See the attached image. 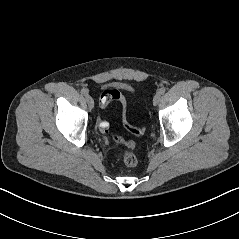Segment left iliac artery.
I'll return each instance as SVG.
<instances>
[{
	"label": "left iliac artery",
	"mask_w": 239,
	"mask_h": 239,
	"mask_svg": "<svg viewBox=\"0 0 239 239\" xmlns=\"http://www.w3.org/2000/svg\"><path fill=\"white\" fill-rule=\"evenodd\" d=\"M165 91H166V89H165L164 87L158 89V93H159L160 95L164 94Z\"/></svg>",
	"instance_id": "1"
}]
</instances>
